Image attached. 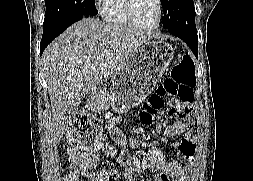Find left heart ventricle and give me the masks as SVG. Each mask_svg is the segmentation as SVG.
<instances>
[{
	"label": "left heart ventricle",
	"instance_id": "left-heart-ventricle-1",
	"mask_svg": "<svg viewBox=\"0 0 253 181\" xmlns=\"http://www.w3.org/2000/svg\"><path fill=\"white\" fill-rule=\"evenodd\" d=\"M133 11L136 19L145 25H152L158 16L156 0H134Z\"/></svg>",
	"mask_w": 253,
	"mask_h": 181
}]
</instances>
